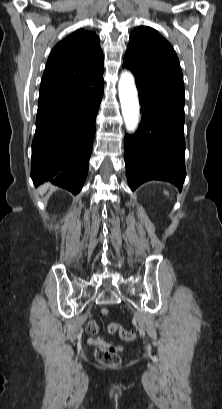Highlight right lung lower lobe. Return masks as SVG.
Listing matches in <instances>:
<instances>
[{
	"label": "right lung lower lobe",
	"instance_id": "right-lung-lower-lobe-1",
	"mask_svg": "<svg viewBox=\"0 0 222 409\" xmlns=\"http://www.w3.org/2000/svg\"><path fill=\"white\" fill-rule=\"evenodd\" d=\"M103 73L90 77L82 92L38 103L32 142L31 178L77 194L83 187L91 155L95 120L103 96Z\"/></svg>",
	"mask_w": 222,
	"mask_h": 409
}]
</instances>
